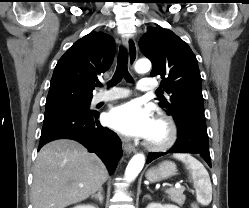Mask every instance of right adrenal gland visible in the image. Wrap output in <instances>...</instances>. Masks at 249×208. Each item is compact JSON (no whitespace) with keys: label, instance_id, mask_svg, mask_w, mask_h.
<instances>
[{"label":"right adrenal gland","instance_id":"1","mask_svg":"<svg viewBox=\"0 0 249 208\" xmlns=\"http://www.w3.org/2000/svg\"><path fill=\"white\" fill-rule=\"evenodd\" d=\"M91 198H92V199H93V198L96 199L97 201H99L100 204H102L103 201H104L103 188L101 187V188L99 189L98 193L92 195Z\"/></svg>","mask_w":249,"mask_h":208}]
</instances>
